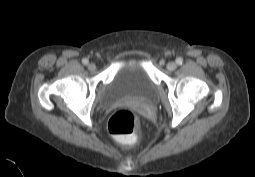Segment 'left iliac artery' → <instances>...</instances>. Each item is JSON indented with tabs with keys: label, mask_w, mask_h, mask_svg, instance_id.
Returning <instances> with one entry per match:
<instances>
[{
	"label": "left iliac artery",
	"mask_w": 255,
	"mask_h": 177,
	"mask_svg": "<svg viewBox=\"0 0 255 177\" xmlns=\"http://www.w3.org/2000/svg\"><path fill=\"white\" fill-rule=\"evenodd\" d=\"M176 63H177L178 65H181V64L183 63V59H182L181 57L177 58V59H176Z\"/></svg>",
	"instance_id": "left-iliac-artery-1"
}]
</instances>
